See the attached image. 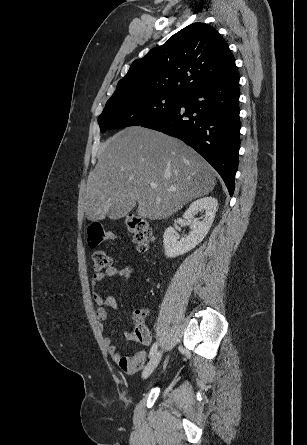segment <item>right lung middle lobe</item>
Segmentation results:
<instances>
[{"mask_svg": "<svg viewBox=\"0 0 307 445\" xmlns=\"http://www.w3.org/2000/svg\"><path fill=\"white\" fill-rule=\"evenodd\" d=\"M184 96L147 94L111 97L98 117L102 133L109 129L143 125L177 107Z\"/></svg>", "mask_w": 307, "mask_h": 445, "instance_id": "dd1d6c3e", "label": "right lung middle lobe"}]
</instances>
